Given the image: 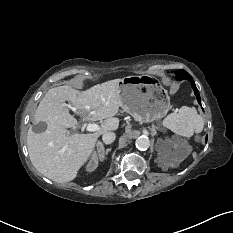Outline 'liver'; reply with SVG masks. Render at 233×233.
<instances>
[{
  "label": "liver",
  "mask_w": 233,
  "mask_h": 233,
  "mask_svg": "<svg viewBox=\"0 0 233 233\" xmlns=\"http://www.w3.org/2000/svg\"><path fill=\"white\" fill-rule=\"evenodd\" d=\"M114 79L97 84L86 91L68 85L51 88L41 99L34 114L35 123L45 122V131L36 133L29 128L27 148L32 165L45 177L57 183L76 178L79 169L93 153L98 137L105 131L118 129L121 100L119 83ZM80 112L82 120L102 121L99 130L88 134L70 135L68 128H76L78 121L67 108Z\"/></svg>",
  "instance_id": "liver-1"
}]
</instances>
